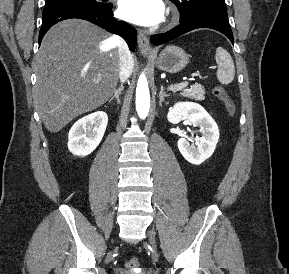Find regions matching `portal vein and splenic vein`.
Here are the masks:
<instances>
[{"instance_id": "18ae733b", "label": "portal vein and splenic vein", "mask_w": 289, "mask_h": 274, "mask_svg": "<svg viewBox=\"0 0 289 274\" xmlns=\"http://www.w3.org/2000/svg\"><path fill=\"white\" fill-rule=\"evenodd\" d=\"M188 85L187 82H181V83H178L176 85H172L170 87H168V90H171V91H177V90H180L182 87H186Z\"/></svg>"}]
</instances>
